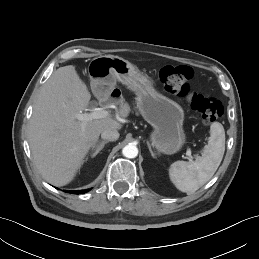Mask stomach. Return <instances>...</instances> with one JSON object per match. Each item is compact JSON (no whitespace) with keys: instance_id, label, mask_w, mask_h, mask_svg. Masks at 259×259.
Listing matches in <instances>:
<instances>
[{"instance_id":"0dacf381","label":"stomach","mask_w":259,"mask_h":259,"mask_svg":"<svg viewBox=\"0 0 259 259\" xmlns=\"http://www.w3.org/2000/svg\"><path fill=\"white\" fill-rule=\"evenodd\" d=\"M88 74L95 94L109 93L117 81L135 93L137 109L153 127L151 144L159 152L174 154L182 148L186 141L183 108L159 93L153 81L135 65L121 57L105 55L90 61Z\"/></svg>"}]
</instances>
